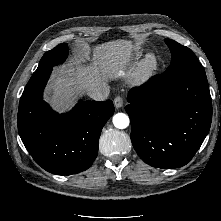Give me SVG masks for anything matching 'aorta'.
<instances>
[{"mask_svg":"<svg viewBox=\"0 0 221 221\" xmlns=\"http://www.w3.org/2000/svg\"><path fill=\"white\" fill-rule=\"evenodd\" d=\"M129 117L124 113H117L113 117V124L118 129H125L129 126Z\"/></svg>","mask_w":221,"mask_h":221,"instance_id":"762f6f07","label":"aorta"}]
</instances>
